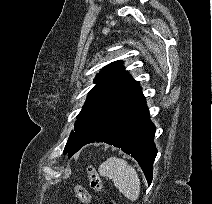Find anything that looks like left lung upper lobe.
Segmentation results:
<instances>
[{
    "mask_svg": "<svg viewBox=\"0 0 212 204\" xmlns=\"http://www.w3.org/2000/svg\"><path fill=\"white\" fill-rule=\"evenodd\" d=\"M95 83V87L89 92L87 100L77 116L75 131L70 134L64 154L71 150L75 138L79 134L140 88L139 83L131 78L119 61L104 67L96 77Z\"/></svg>",
    "mask_w": 212,
    "mask_h": 204,
    "instance_id": "left-lung-upper-lobe-1",
    "label": "left lung upper lobe"
}]
</instances>
